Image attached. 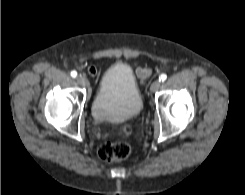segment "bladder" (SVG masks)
<instances>
[{"label":"bladder","instance_id":"bladder-1","mask_svg":"<svg viewBox=\"0 0 245 195\" xmlns=\"http://www.w3.org/2000/svg\"><path fill=\"white\" fill-rule=\"evenodd\" d=\"M143 100L132 69L115 63L103 74L91 105L97 122L122 123L139 115Z\"/></svg>","mask_w":245,"mask_h":195}]
</instances>
